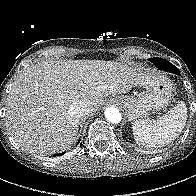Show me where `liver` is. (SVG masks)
Listing matches in <instances>:
<instances>
[{"mask_svg":"<svg viewBox=\"0 0 196 196\" xmlns=\"http://www.w3.org/2000/svg\"><path fill=\"white\" fill-rule=\"evenodd\" d=\"M138 80L135 66L102 60H57L25 69L7 97L5 125L25 151L53 154L76 140L79 119L71 117L74 102L87 105L86 114L100 108L104 97L129 92Z\"/></svg>","mask_w":196,"mask_h":196,"instance_id":"6515ba94","label":"liver"}]
</instances>
